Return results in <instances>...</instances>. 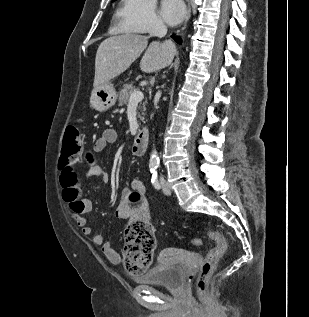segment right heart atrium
I'll use <instances>...</instances> for the list:
<instances>
[{"label":"right heart atrium","mask_w":309,"mask_h":317,"mask_svg":"<svg viewBox=\"0 0 309 317\" xmlns=\"http://www.w3.org/2000/svg\"><path fill=\"white\" fill-rule=\"evenodd\" d=\"M123 28L133 33H151L164 28L155 0H123L119 11Z\"/></svg>","instance_id":"d8ad5b80"}]
</instances>
